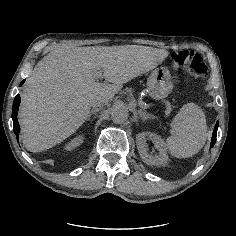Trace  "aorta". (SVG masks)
Here are the masks:
<instances>
[{
	"instance_id": "obj_1",
	"label": "aorta",
	"mask_w": 236,
	"mask_h": 236,
	"mask_svg": "<svg viewBox=\"0 0 236 236\" xmlns=\"http://www.w3.org/2000/svg\"><path fill=\"white\" fill-rule=\"evenodd\" d=\"M128 110L125 107L116 106L112 109L111 118L114 123L122 124L128 119Z\"/></svg>"
}]
</instances>
